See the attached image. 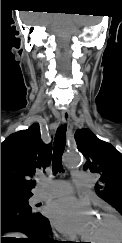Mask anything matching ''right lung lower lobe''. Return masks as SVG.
I'll list each match as a JSON object with an SVG mask.
<instances>
[{
    "label": "right lung lower lobe",
    "mask_w": 122,
    "mask_h": 243,
    "mask_svg": "<svg viewBox=\"0 0 122 243\" xmlns=\"http://www.w3.org/2000/svg\"><path fill=\"white\" fill-rule=\"evenodd\" d=\"M18 231L26 238L1 237V243H58L48 240L51 234L49 220L35 209L13 204H1V234Z\"/></svg>",
    "instance_id": "98d812e1"
}]
</instances>
